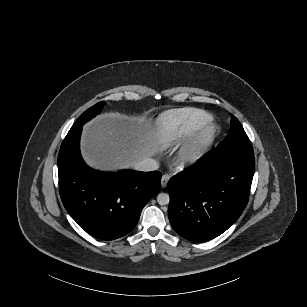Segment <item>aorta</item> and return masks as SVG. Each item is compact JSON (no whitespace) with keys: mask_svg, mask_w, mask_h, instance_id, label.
<instances>
[{"mask_svg":"<svg viewBox=\"0 0 307 307\" xmlns=\"http://www.w3.org/2000/svg\"><path fill=\"white\" fill-rule=\"evenodd\" d=\"M169 195L166 193H160L157 195V202L160 205H167L169 203Z\"/></svg>","mask_w":307,"mask_h":307,"instance_id":"762f6f07","label":"aorta"}]
</instances>
